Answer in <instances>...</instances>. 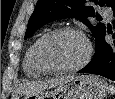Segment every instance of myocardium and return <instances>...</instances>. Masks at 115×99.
I'll use <instances>...</instances> for the list:
<instances>
[{
    "mask_svg": "<svg viewBox=\"0 0 115 99\" xmlns=\"http://www.w3.org/2000/svg\"><path fill=\"white\" fill-rule=\"evenodd\" d=\"M65 33L74 34L82 38V40L85 42V45H86L85 56L79 63L72 66H67V67L53 66L49 64L43 57V53H42L43 45L48 39L56 35L65 34ZM92 52H93L92 44L90 40L88 39V37L81 30L73 28V27H60V28H56L45 33L37 40L35 49H34V57H35V61L37 65L44 72L57 74V73L75 72L82 69L89 63L92 57Z\"/></svg>",
    "mask_w": 115,
    "mask_h": 99,
    "instance_id": "myocardium-1",
    "label": "myocardium"
}]
</instances>
